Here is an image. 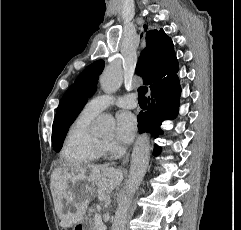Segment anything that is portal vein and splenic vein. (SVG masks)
I'll use <instances>...</instances> for the list:
<instances>
[{
	"instance_id": "obj_1",
	"label": "portal vein and splenic vein",
	"mask_w": 241,
	"mask_h": 230,
	"mask_svg": "<svg viewBox=\"0 0 241 230\" xmlns=\"http://www.w3.org/2000/svg\"><path fill=\"white\" fill-rule=\"evenodd\" d=\"M94 222L100 228V230H103L105 228V226L102 223L101 216L99 214H95Z\"/></svg>"
}]
</instances>
